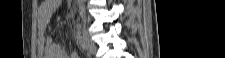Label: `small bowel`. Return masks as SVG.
I'll return each instance as SVG.
<instances>
[{
	"instance_id": "small-bowel-1",
	"label": "small bowel",
	"mask_w": 225,
	"mask_h": 58,
	"mask_svg": "<svg viewBox=\"0 0 225 58\" xmlns=\"http://www.w3.org/2000/svg\"><path fill=\"white\" fill-rule=\"evenodd\" d=\"M60 5V0H46L38 8V51L42 58H77L75 53L67 54L65 47L56 43L52 37L44 38V33Z\"/></svg>"
}]
</instances>
